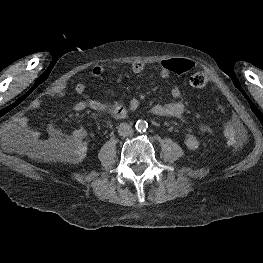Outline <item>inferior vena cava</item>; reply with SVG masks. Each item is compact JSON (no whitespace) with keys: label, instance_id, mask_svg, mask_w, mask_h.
Instances as JSON below:
<instances>
[{"label":"inferior vena cava","instance_id":"obj_1","mask_svg":"<svg viewBox=\"0 0 263 263\" xmlns=\"http://www.w3.org/2000/svg\"><path fill=\"white\" fill-rule=\"evenodd\" d=\"M132 132V128L129 124L127 123H121L119 126H118V133L121 135V136H128L130 135Z\"/></svg>","mask_w":263,"mask_h":263}]
</instances>
